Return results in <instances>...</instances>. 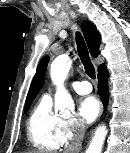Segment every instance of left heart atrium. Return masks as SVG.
<instances>
[{
    "mask_svg": "<svg viewBox=\"0 0 130 153\" xmlns=\"http://www.w3.org/2000/svg\"><path fill=\"white\" fill-rule=\"evenodd\" d=\"M99 111L100 105L94 96H84L78 102V113L87 122L95 120Z\"/></svg>",
    "mask_w": 130,
    "mask_h": 153,
    "instance_id": "1",
    "label": "left heart atrium"
}]
</instances>
